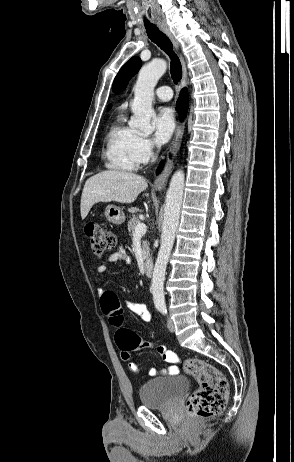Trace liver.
<instances>
[{"mask_svg": "<svg viewBox=\"0 0 294 462\" xmlns=\"http://www.w3.org/2000/svg\"><path fill=\"white\" fill-rule=\"evenodd\" d=\"M144 177L126 171L108 170L90 177L81 196V218L85 219L90 209L98 202L132 203L147 188Z\"/></svg>", "mask_w": 294, "mask_h": 462, "instance_id": "obj_1", "label": "liver"}]
</instances>
